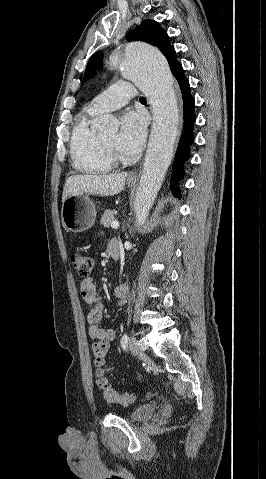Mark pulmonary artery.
<instances>
[{"mask_svg":"<svg viewBox=\"0 0 266 479\" xmlns=\"http://www.w3.org/2000/svg\"><path fill=\"white\" fill-rule=\"evenodd\" d=\"M137 95L135 87L126 81H119L97 95L90 103L89 110L95 113L114 111L124 106Z\"/></svg>","mask_w":266,"mask_h":479,"instance_id":"e3ab8cb5","label":"pulmonary artery"}]
</instances>
